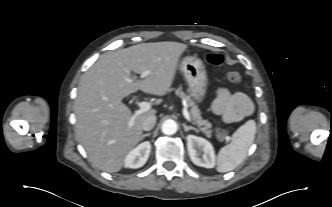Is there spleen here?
<instances>
[{
  "instance_id": "obj_1",
  "label": "spleen",
  "mask_w": 332,
  "mask_h": 207,
  "mask_svg": "<svg viewBox=\"0 0 332 207\" xmlns=\"http://www.w3.org/2000/svg\"><path fill=\"white\" fill-rule=\"evenodd\" d=\"M256 133V123L249 120L232 135L230 144L222 147L217 157V171L225 173L234 170L245 159Z\"/></svg>"
}]
</instances>
